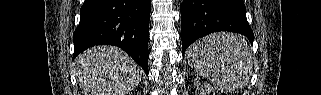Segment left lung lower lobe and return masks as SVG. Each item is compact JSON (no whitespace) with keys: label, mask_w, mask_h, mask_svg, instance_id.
Masks as SVG:
<instances>
[{"label":"left lung lower lobe","mask_w":321,"mask_h":95,"mask_svg":"<svg viewBox=\"0 0 321 95\" xmlns=\"http://www.w3.org/2000/svg\"><path fill=\"white\" fill-rule=\"evenodd\" d=\"M231 31L245 35L250 42L254 34L246 20L243 0H184L181 4L182 54L194 41L207 34Z\"/></svg>","instance_id":"obj_1"}]
</instances>
